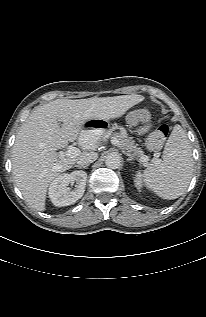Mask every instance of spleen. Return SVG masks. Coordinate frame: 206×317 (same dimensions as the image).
<instances>
[{
    "label": "spleen",
    "mask_w": 206,
    "mask_h": 317,
    "mask_svg": "<svg viewBox=\"0 0 206 317\" xmlns=\"http://www.w3.org/2000/svg\"><path fill=\"white\" fill-rule=\"evenodd\" d=\"M189 140L180 125H175L163 151L162 160H155L144 170L146 187L163 199H176L188 188L193 173Z\"/></svg>",
    "instance_id": "3e777b00"
}]
</instances>
